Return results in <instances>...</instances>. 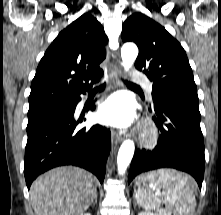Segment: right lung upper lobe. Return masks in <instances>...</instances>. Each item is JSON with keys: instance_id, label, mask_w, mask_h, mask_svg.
I'll return each instance as SVG.
<instances>
[{"instance_id": "1", "label": "right lung upper lobe", "mask_w": 221, "mask_h": 215, "mask_svg": "<svg viewBox=\"0 0 221 215\" xmlns=\"http://www.w3.org/2000/svg\"><path fill=\"white\" fill-rule=\"evenodd\" d=\"M107 42L102 25L91 14H83L62 30L37 67L29 109L52 106L90 91L103 74L99 64L106 57Z\"/></svg>"}]
</instances>
